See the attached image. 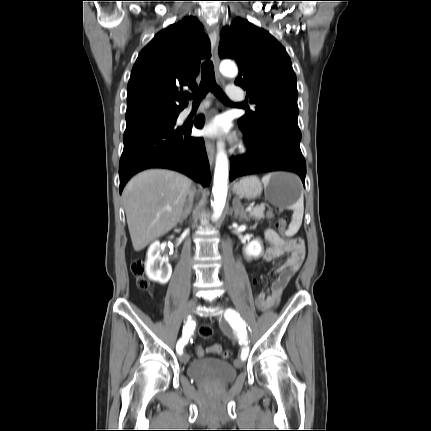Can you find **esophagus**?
I'll return each mask as SVG.
<instances>
[{"instance_id":"34e87169","label":"esophagus","mask_w":431,"mask_h":431,"mask_svg":"<svg viewBox=\"0 0 431 431\" xmlns=\"http://www.w3.org/2000/svg\"><path fill=\"white\" fill-rule=\"evenodd\" d=\"M207 32L212 41V60L216 71L219 66L218 46H219V27L217 24H210L207 26ZM206 152L209 160V164L212 167L215 160V147L213 140L205 139Z\"/></svg>"}]
</instances>
